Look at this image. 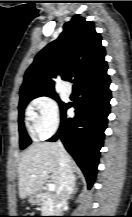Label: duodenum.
<instances>
[{
	"mask_svg": "<svg viewBox=\"0 0 132 217\" xmlns=\"http://www.w3.org/2000/svg\"><path fill=\"white\" fill-rule=\"evenodd\" d=\"M47 197H48V192H47V191L41 190V191L39 192V199H40V200H44V199L47 198Z\"/></svg>",
	"mask_w": 132,
	"mask_h": 217,
	"instance_id": "obj_1",
	"label": "duodenum"
}]
</instances>
